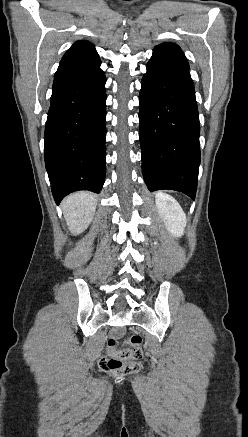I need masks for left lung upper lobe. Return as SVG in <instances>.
<instances>
[{"label": "left lung upper lobe", "mask_w": 248, "mask_h": 437, "mask_svg": "<svg viewBox=\"0 0 248 437\" xmlns=\"http://www.w3.org/2000/svg\"><path fill=\"white\" fill-rule=\"evenodd\" d=\"M150 60L189 69V64L184 53L180 47L174 43H162L156 46Z\"/></svg>", "instance_id": "5c2ea615"}]
</instances>
